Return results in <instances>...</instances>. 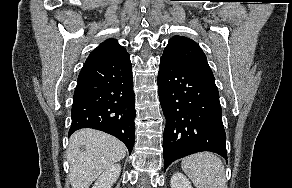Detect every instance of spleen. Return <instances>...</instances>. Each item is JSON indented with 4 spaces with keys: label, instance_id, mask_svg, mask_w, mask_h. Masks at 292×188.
Wrapping results in <instances>:
<instances>
[{
    "label": "spleen",
    "instance_id": "spleen-1",
    "mask_svg": "<svg viewBox=\"0 0 292 188\" xmlns=\"http://www.w3.org/2000/svg\"><path fill=\"white\" fill-rule=\"evenodd\" d=\"M181 167L196 188H227L224 165L212 153H196L185 157Z\"/></svg>",
    "mask_w": 292,
    "mask_h": 188
}]
</instances>
